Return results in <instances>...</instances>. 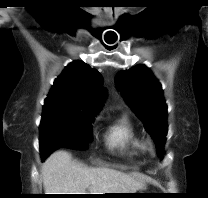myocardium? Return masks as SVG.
<instances>
[{"label":"myocardium","mask_w":208,"mask_h":198,"mask_svg":"<svg viewBox=\"0 0 208 198\" xmlns=\"http://www.w3.org/2000/svg\"><path fill=\"white\" fill-rule=\"evenodd\" d=\"M141 148L142 149H147L148 148V144L147 143H141Z\"/></svg>","instance_id":"f54148a6"}]
</instances>
